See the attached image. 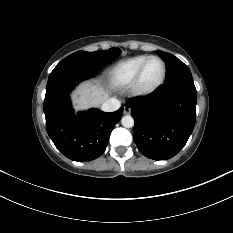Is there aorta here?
Here are the masks:
<instances>
[{
	"instance_id": "1",
	"label": "aorta",
	"mask_w": 233,
	"mask_h": 233,
	"mask_svg": "<svg viewBox=\"0 0 233 233\" xmlns=\"http://www.w3.org/2000/svg\"><path fill=\"white\" fill-rule=\"evenodd\" d=\"M121 124L125 128H132L134 126V119L130 115L123 116L121 119Z\"/></svg>"
}]
</instances>
